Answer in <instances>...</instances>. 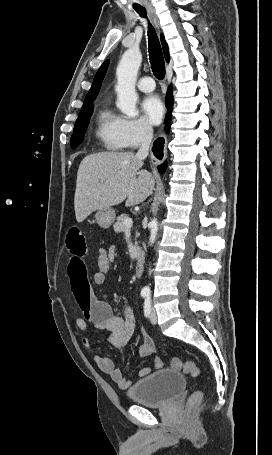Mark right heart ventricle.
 I'll use <instances>...</instances> for the list:
<instances>
[{
    "instance_id": "e07e8e85",
    "label": "right heart ventricle",
    "mask_w": 272,
    "mask_h": 455,
    "mask_svg": "<svg viewBox=\"0 0 272 455\" xmlns=\"http://www.w3.org/2000/svg\"><path fill=\"white\" fill-rule=\"evenodd\" d=\"M121 117L113 113L104 103L96 115L95 134L102 146L109 151H119L125 148L120 133Z\"/></svg>"
}]
</instances>
